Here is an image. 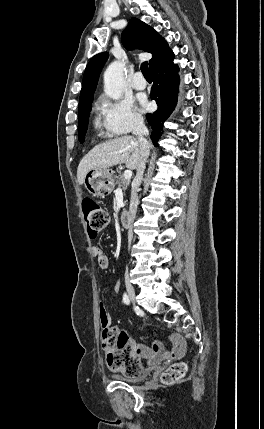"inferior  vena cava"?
I'll return each mask as SVG.
<instances>
[{"mask_svg":"<svg viewBox=\"0 0 264 429\" xmlns=\"http://www.w3.org/2000/svg\"><path fill=\"white\" fill-rule=\"evenodd\" d=\"M133 134L138 136V141L140 144V150H141V159L137 166V173L134 179V186L132 188L131 192V202H130V221L129 228L127 229V235L129 236L127 239L130 241L132 238L130 236H133V229H135V223L137 221L136 212L137 207L139 204V199L137 195V190L139 185L141 184L143 180V174L146 167V161L150 153V144L145 138V136H148L149 131L146 128L144 124L143 118H137L134 121L133 125Z\"/></svg>","mask_w":264,"mask_h":429,"instance_id":"inferior-vena-cava-1","label":"inferior vena cava"}]
</instances>
